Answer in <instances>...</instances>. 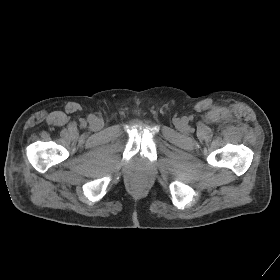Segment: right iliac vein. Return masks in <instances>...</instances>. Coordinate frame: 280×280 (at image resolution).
I'll list each match as a JSON object with an SVG mask.
<instances>
[{
    "label": "right iliac vein",
    "instance_id": "63e3f726",
    "mask_svg": "<svg viewBox=\"0 0 280 280\" xmlns=\"http://www.w3.org/2000/svg\"><path fill=\"white\" fill-rule=\"evenodd\" d=\"M103 125H104L103 120L95 118L92 120L90 126L93 130H100L103 127Z\"/></svg>",
    "mask_w": 280,
    "mask_h": 280
}]
</instances>
